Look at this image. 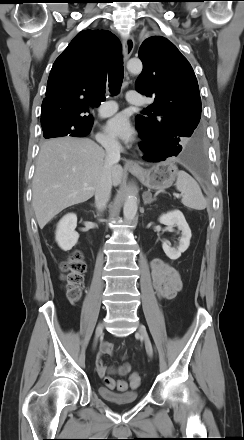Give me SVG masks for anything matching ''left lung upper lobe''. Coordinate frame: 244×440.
Returning a JSON list of instances; mask_svg holds the SVG:
<instances>
[{
  "label": "left lung upper lobe",
  "instance_id": "obj_1",
  "mask_svg": "<svg viewBox=\"0 0 244 440\" xmlns=\"http://www.w3.org/2000/svg\"><path fill=\"white\" fill-rule=\"evenodd\" d=\"M139 58L143 71L135 88L154 103L148 118L136 116L138 127L154 131L169 144L181 146L183 137L200 138L201 98L195 73L174 44L161 36L146 39Z\"/></svg>",
  "mask_w": 244,
  "mask_h": 440
}]
</instances>
